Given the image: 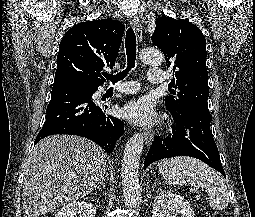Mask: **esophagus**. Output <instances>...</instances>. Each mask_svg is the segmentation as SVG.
<instances>
[{
	"label": "esophagus",
	"mask_w": 255,
	"mask_h": 217,
	"mask_svg": "<svg viewBox=\"0 0 255 217\" xmlns=\"http://www.w3.org/2000/svg\"><path fill=\"white\" fill-rule=\"evenodd\" d=\"M131 25L135 31V34H136V37L139 41L142 40V26H141V23L139 21L138 18H134L132 21H131ZM144 136H145V140H146V145L149 146L153 139H154V135H155V132L152 130V129H144Z\"/></svg>",
	"instance_id": "34e87169"
}]
</instances>
